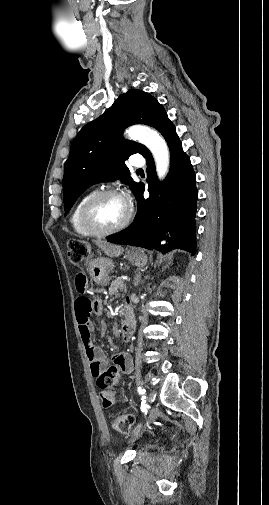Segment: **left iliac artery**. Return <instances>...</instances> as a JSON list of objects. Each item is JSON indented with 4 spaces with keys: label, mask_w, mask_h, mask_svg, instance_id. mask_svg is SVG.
Segmentation results:
<instances>
[{
    "label": "left iliac artery",
    "mask_w": 269,
    "mask_h": 505,
    "mask_svg": "<svg viewBox=\"0 0 269 505\" xmlns=\"http://www.w3.org/2000/svg\"><path fill=\"white\" fill-rule=\"evenodd\" d=\"M138 393L142 396V404H141V408L142 410L143 409H146L147 408V404L145 403V389L142 388V387H138Z\"/></svg>",
    "instance_id": "1"
}]
</instances>
